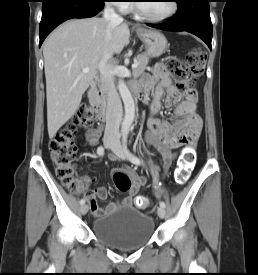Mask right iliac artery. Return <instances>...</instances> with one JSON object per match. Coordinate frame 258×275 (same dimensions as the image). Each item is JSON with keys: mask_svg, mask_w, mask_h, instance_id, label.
Here are the masks:
<instances>
[{"mask_svg": "<svg viewBox=\"0 0 258 275\" xmlns=\"http://www.w3.org/2000/svg\"><path fill=\"white\" fill-rule=\"evenodd\" d=\"M97 154H98L99 156H103V155H104V148H103V146H99V147L97 148ZM84 203H85V200H84V199H81V200H80V204L83 205Z\"/></svg>", "mask_w": 258, "mask_h": 275, "instance_id": "right-iliac-artery-1", "label": "right iliac artery"}]
</instances>
